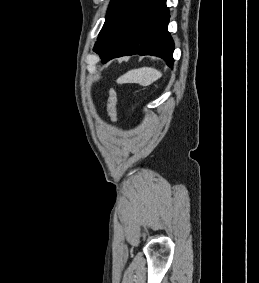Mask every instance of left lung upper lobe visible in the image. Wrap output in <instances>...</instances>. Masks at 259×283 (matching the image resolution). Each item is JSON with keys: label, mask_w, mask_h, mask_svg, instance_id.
I'll return each mask as SVG.
<instances>
[{"label": "left lung upper lobe", "mask_w": 259, "mask_h": 283, "mask_svg": "<svg viewBox=\"0 0 259 283\" xmlns=\"http://www.w3.org/2000/svg\"><path fill=\"white\" fill-rule=\"evenodd\" d=\"M123 1L124 0H111L108 11H107L106 20H105L102 30L100 31L99 36L103 33L104 29L106 28V26L108 25V23L110 22V20L112 19V17L114 16L116 11L120 7V5L123 3Z\"/></svg>", "instance_id": "1"}]
</instances>
